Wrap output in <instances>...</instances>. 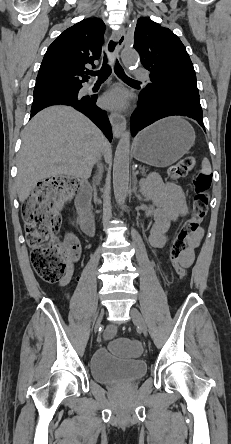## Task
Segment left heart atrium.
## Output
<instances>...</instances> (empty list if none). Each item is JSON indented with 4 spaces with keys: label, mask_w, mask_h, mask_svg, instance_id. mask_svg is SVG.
Instances as JSON below:
<instances>
[{
    "label": "left heart atrium",
    "mask_w": 231,
    "mask_h": 444,
    "mask_svg": "<svg viewBox=\"0 0 231 444\" xmlns=\"http://www.w3.org/2000/svg\"><path fill=\"white\" fill-rule=\"evenodd\" d=\"M101 102L107 108L120 110L127 104V95L122 89H113L102 96Z\"/></svg>",
    "instance_id": "obj_1"
}]
</instances>
